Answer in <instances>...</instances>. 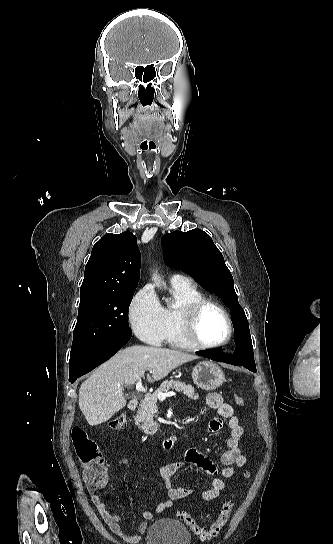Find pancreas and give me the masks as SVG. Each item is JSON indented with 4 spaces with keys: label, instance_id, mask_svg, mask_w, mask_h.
<instances>
[{
    "label": "pancreas",
    "instance_id": "obj_1",
    "mask_svg": "<svg viewBox=\"0 0 333 544\" xmlns=\"http://www.w3.org/2000/svg\"><path fill=\"white\" fill-rule=\"evenodd\" d=\"M174 389L183 392L190 399L197 400L199 395L195 393L194 387L179 381H165L152 394L147 395L141 402L139 410L135 416V424L145 433L152 435L157 431V425L153 422V416L157 412L158 394Z\"/></svg>",
    "mask_w": 333,
    "mask_h": 544
}]
</instances>
